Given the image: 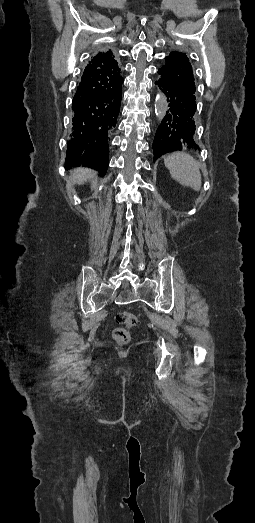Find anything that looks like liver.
I'll return each instance as SVG.
<instances>
[{"label": "liver", "instance_id": "6515ba94", "mask_svg": "<svg viewBox=\"0 0 255 523\" xmlns=\"http://www.w3.org/2000/svg\"><path fill=\"white\" fill-rule=\"evenodd\" d=\"M94 174H92L91 170H88V168H77L75 172L72 174V178L76 184H83V182H87L89 178H93Z\"/></svg>", "mask_w": 255, "mask_h": 523}]
</instances>
